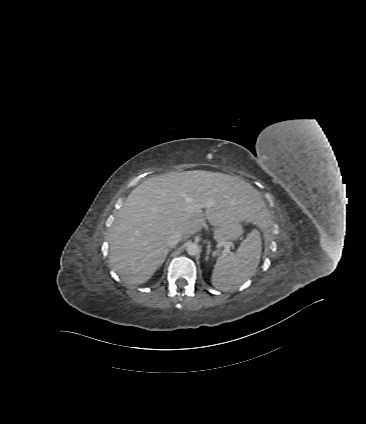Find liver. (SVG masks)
I'll return each instance as SVG.
<instances>
[{
  "instance_id": "1",
  "label": "liver",
  "mask_w": 366,
  "mask_h": 424,
  "mask_svg": "<svg viewBox=\"0 0 366 424\" xmlns=\"http://www.w3.org/2000/svg\"><path fill=\"white\" fill-rule=\"evenodd\" d=\"M209 203L205 212L195 205ZM264 201L249 183L227 174L185 171L152 177L127 197L110 234V263L127 283H146L166 253V239H183L208 222L219 227L247 221L264 227Z\"/></svg>"
}]
</instances>
